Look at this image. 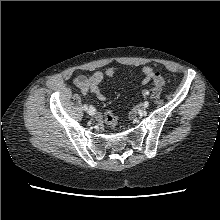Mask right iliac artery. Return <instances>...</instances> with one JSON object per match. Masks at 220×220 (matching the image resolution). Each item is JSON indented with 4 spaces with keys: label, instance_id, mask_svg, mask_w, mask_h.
Here are the masks:
<instances>
[{
    "label": "right iliac artery",
    "instance_id": "1",
    "mask_svg": "<svg viewBox=\"0 0 220 220\" xmlns=\"http://www.w3.org/2000/svg\"><path fill=\"white\" fill-rule=\"evenodd\" d=\"M83 108H84L85 111H87V110H88L87 104H84V107H83ZM94 110H95V109H94Z\"/></svg>",
    "mask_w": 220,
    "mask_h": 220
}]
</instances>
